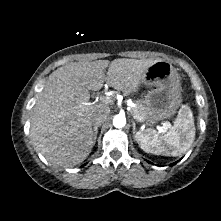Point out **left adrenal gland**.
<instances>
[{
	"mask_svg": "<svg viewBox=\"0 0 221 221\" xmlns=\"http://www.w3.org/2000/svg\"><path fill=\"white\" fill-rule=\"evenodd\" d=\"M135 132H136V131H135V127H133V134H135Z\"/></svg>",
	"mask_w": 221,
	"mask_h": 221,
	"instance_id": "left-adrenal-gland-1",
	"label": "left adrenal gland"
}]
</instances>
